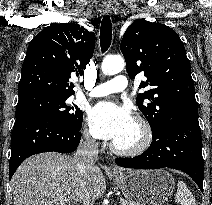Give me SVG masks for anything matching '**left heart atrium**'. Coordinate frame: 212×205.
<instances>
[{"label":"left heart atrium","instance_id":"1","mask_svg":"<svg viewBox=\"0 0 212 205\" xmlns=\"http://www.w3.org/2000/svg\"><path fill=\"white\" fill-rule=\"evenodd\" d=\"M89 118L93 135L113 142L124 135L134 123L128 108L110 102L94 106Z\"/></svg>","mask_w":212,"mask_h":205}]
</instances>
